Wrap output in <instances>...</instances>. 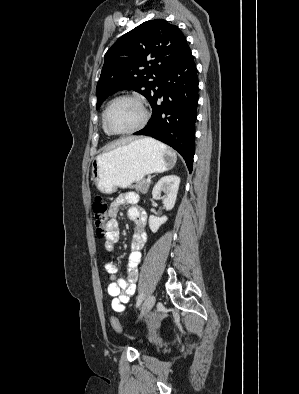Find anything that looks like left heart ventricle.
<instances>
[{
  "instance_id": "obj_1",
  "label": "left heart ventricle",
  "mask_w": 299,
  "mask_h": 394,
  "mask_svg": "<svg viewBox=\"0 0 299 394\" xmlns=\"http://www.w3.org/2000/svg\"><path fill=\"white\" fill-rule=\"evenodd\" d=\"M142 119V110L133 100H119L110 109L108 123L114 131H127L132 129Z\"/></svg>"
}]
</instances>
